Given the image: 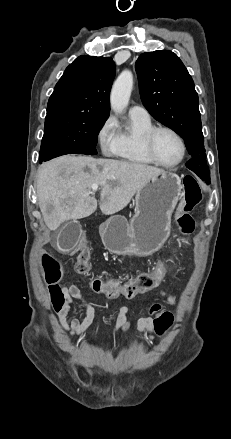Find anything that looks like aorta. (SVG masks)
Returning <instances> with one entry per match:
<instances>
[{"instance_id": "1", "label": "aorta", "mask_w": 231, "mask_h": 439, "mask_svg": "<svg viewBox=\"0 0 231 439\" xmlns=\"http://www.w3.org/2000/svg\"><path fill=\"white\" fill-rule=\"evenodd\" d=\"M133 88V75L130 71H123L113 84L110 103L112 110L120 114L127 107Z\"/></svg>"}]
</instances>
